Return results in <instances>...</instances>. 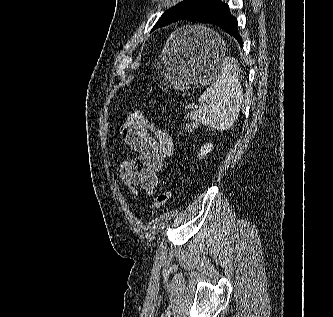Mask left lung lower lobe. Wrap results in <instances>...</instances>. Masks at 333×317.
I'll return each mask as SVG.
<instances>
[{
	"label": "left lung lower lobe",
	"instance_id": "0a47b994",
	"mask_svg": "<svg viewBox=\"0 0 333 317\" xmlns=\"http://www.w3.org/2000/svg\"><path fill=\"white\" fill-rule=\"evenodd\" d=\"M183 19L216 25L233 36L242 46V37L238 32L237 19L230 13L227 3L213 0L206 5L190 11Z\"/></svg>",
	"mask_w": 333,
	"mask_h": 317
}]
</instances>
